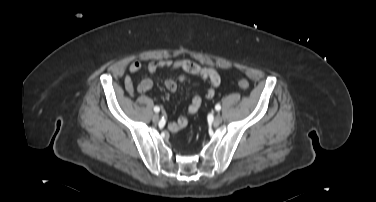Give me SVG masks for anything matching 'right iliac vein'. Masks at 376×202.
Listing matches in <instances>:
<instances>
[{
	"instance_id": "right-iliac-vein-1",
	"label": "right iliac vein",
	"mask_w": 376,
	"mask_h": 202,
	"mask_svg": "<svg viewBox=\"0 0 376 202\" xmlns=\"http://www.w3.org/2000/svg\"><path fill=\"white\" fill-rule=\"evenodd\" d=\"M152 120H153V122L157 123L159 121V115L154 114L153 117H152Z\"/></svg>"
}]
</instances>
